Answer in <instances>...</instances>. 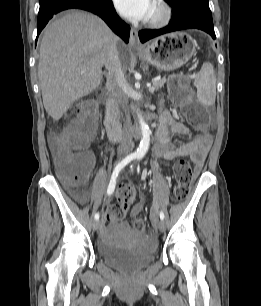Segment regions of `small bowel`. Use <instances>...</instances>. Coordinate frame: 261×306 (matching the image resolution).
<instances>
[{
  "label": "small bowel",
  "instance_id": "small-bowel-1",
  "mask_svg": "<svg viewBox=\"0 0 261 306\" xmlns=\"http://www.w3.org/2000/svg\"><path fill=\"white\" fill-rule=\"evenodd\" d=\"M171 134L187 136L189 140L183 144L176 145L171 140ZM212 138L209 134H198L191 128L176 120L168 111H162L159 115V127L157 130L156 155L166 160H173L177 157H189L194 163L197 171L204 165L206 157L211 148ZM89 159L90 171L93 168L95 158L92 153H86ZM73 195L80 201H85L88 194L85 192H73ZM107 204L111 198L105 200ZM143 209V202L139 201L132 208L131 213L136 215ZM103 234L107 235V231Z\"/></svg>",
  "mask_w": 261,
  "mask_h": 306
}]
</instances>
